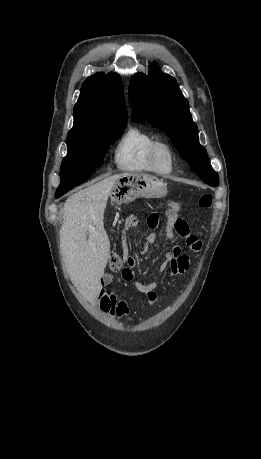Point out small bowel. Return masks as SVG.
<instances>
[{"label": "small bowel", "instance_id": "1", "mask_svg": "<svg viewBox=\"0 0 261 459\" xmlns=\"http://www.w3.org/2000/svg\"><path fill=\"white\" fill-rule=\"evenodd\" d=\"M140 224L138 217L131 215L128 216L123 224V231H128L132 228L137 227ZM176 235L184 238L188 246L197 251L201 247V243L198 238L193 235L187 224L183 229H179L173 220H168V223L165 228V236L168 240L173 241ZM157 241V234L151 232L146 237V243L143 248V252L148 251V247L151 244H154ZM125 260L128 262V266L124 268L121 272V279L124 282L132 283L134 287L142 293L148 302L152 305H157L159 302V297L156 292L157 283L156 281H151L148 283H142L135 280L133 266L135 259L131 257H125ZM190 260L189 256L184 254L181 251V248L178 245H174L172 250L168 252L165 256L164 261L160 264L158 268V273H162L165 270L169 269L171 275L179 276L185 273L189 269ZM113 281V276L111 274H105L101 278L103 288L98 295V304L101 310L111 316L117 317L119 319H125L129 313V304L126 299L118 297L116 294L109 292L106 289V286Z\"/></svg>", "mask_w": 261, "mask_h": 459}]
</instances>
